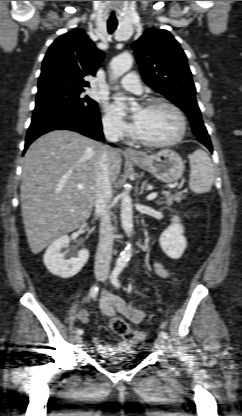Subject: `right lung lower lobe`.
<instances>
[{
	"mask_svg": "<svg viewBox=\"0 0 242 416\" xmlns=\"http://www.w3.org/2000/svg\"><path fill=\"white\" fill-rule=\"evenodd\" d=\"M59 129L77 131L95 140L103 139L99 112L80 116L67 110L50 108L33 114L26 136L24 152L39 136Z\"/></svg>",
	"mask_w": 242,
	"mask_h": 416,
	"instance_id": "obj_1",
	"label": "right lung lower lobe"
}]
</instances>
